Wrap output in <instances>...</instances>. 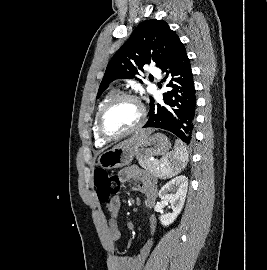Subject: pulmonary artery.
Returning <instances> with one entry per match:
<instances>
[{
    "label": "pulmonary artery",
    "instance_id": "1",
    "mask_svg": "<svg viewBox=\"0 0 267 270\" xmlns=\"http://www.w3.org/2000/svg\"><path fill=\"white\" fill-rule=\"evenodd\" d=\"M150 72H151L153 75H159V70H158L157 68L151 67V68H150Z\"/></svg>",
    "mask_w": 267,
    "mask_h": 270
}]
</instances>
